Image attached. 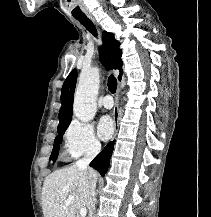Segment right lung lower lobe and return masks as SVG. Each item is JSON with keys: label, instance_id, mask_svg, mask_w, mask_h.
I'll return each mask as SVG.
<instances>
[{"label": "right lung lower lobe", "instance_id": "obj_1", "mask_svg": "<svg viewBox=\"0 0 211 217\" xmlns=\"http://www.w3.org/2000/svg\"><path fill=\"white\" fill-rule=\"evenodd\" d=\"M113 146L114 141L109 142L102 150V152H100L90 163V166L96 169L101 174V176H104L108 169V165L113 151Z\"/></svg>", "mask_w": 211, "mask_h": 217}]
</instances>
